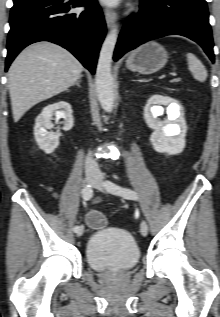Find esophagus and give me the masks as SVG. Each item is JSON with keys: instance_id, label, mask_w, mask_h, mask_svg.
Returning <instances> with one entry per match:
<instances>
[{"instance_id": "1", "label": "esophagus", "mask_w": 220, "mask_h": 317, "mask_svg": "<svg viewBox=\"0 0 220 317\" xmlns=\"http://www.w3.org/2000/svg\"><path fill=\"white\" fill-rule=\"evenodd\" d=\"M104 16H105L107 26L111 28L114 22L116 21V17H117L116 12L110 9H105Z\"/></svg>"}]
</instances>
